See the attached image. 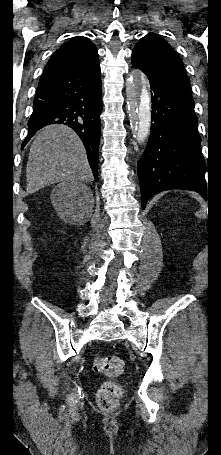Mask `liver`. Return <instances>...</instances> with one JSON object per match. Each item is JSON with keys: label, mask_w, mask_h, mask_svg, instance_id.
<instances>
[{"label": "liver", "mask_w": 221, "mask_h": 455, "mask_svg": "<svg viewBox=\"0 0 221 455\" xmlns=\"http://www.w3.org/2000/svg\"><path fill=\"white\" fill-rule=\"evenodd\" d=\"M92 179L83 143L71 128L49 125L35 137L26 167L28 194L64 180Z\"/></svg>", "instance_id": "obj_1"}]
</instances>
